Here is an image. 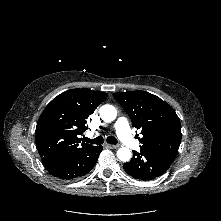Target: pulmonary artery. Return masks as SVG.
<instances>
[{
	"instance_id": "e3ab8cb5",
	"label": "pulmonary artery",
	"mask_w": 221,
	"mask_h": 221,
	"mask_svg": "<svg viewBox=\"0 0 221 221\" xmlns=\"http://www.w3.org/2000/svg\"><path fill=\"white\" fill-rule=\"evenodd\" d=\"M115 129L120 140L130 148L139 147V141H137L130 132L129 124L126 119L119 118L115 123ZM89 136H92L90 133Z\"/></svg>"
}]
</instances>
